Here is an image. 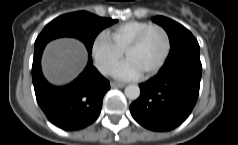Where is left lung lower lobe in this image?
I'll return each instance as SVG.
<instances>
[{"label":"left lung lower lobe","mask_w":238,"mask_h":145,"mask_svg":"<svg viewBox=\"0 0 238 145\" xmlns=\"http://www.w3.org/2000/svg\"><path fill=\"white\" fill-rule=\"evenodd\" d=\"M201 75L199 54L163 66L140 84L141 94L130 105L133 118L152 131H169L181 125L197 102Z\"/></svg>","instance_id":"0a47b994"}]
</instances>
